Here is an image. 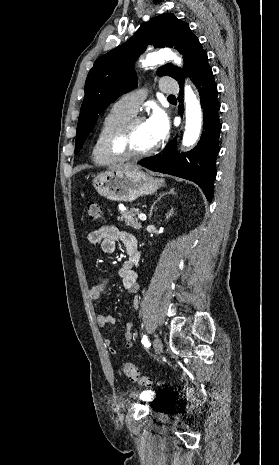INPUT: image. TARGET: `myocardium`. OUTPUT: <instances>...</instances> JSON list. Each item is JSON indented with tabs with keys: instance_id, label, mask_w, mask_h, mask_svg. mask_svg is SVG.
I'll use <instances>...</instances> for the list:
<instances>
[{
	"instance_id": "1",
	"label": "myocardium",
	"mask_w": 279,
	"mask_h": 465,
	"mask_svg": "<svg viewBox=\"0 0 279 465\" xmlns=\"http://www.w3.org/2000/svg\"><path fill=\"white\" fill-rule=\"evenodd\" d=\"M139 122H144V118L141 116H132L108 134L105 141V150L109 156L118 160L140 159L152 155L157 150V143L142 152H132L125 147L128 134Z\"/></svg>"
}]
</instances>
